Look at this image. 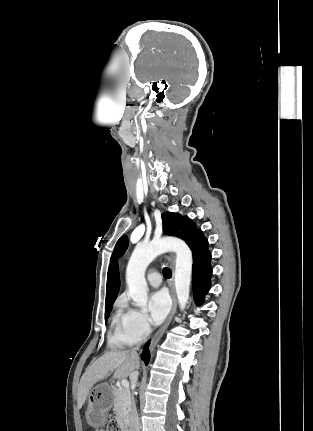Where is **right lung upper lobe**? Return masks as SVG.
I'll return each mask as SVG.
<instances>
[{
    "instance_id": "obj_1",
    "label": "right lung upper lobe",
    "mask_w": 313,
    "mask_h": 431,
    "mask_svg": "<svg viewBox=\"0 0 313 431\" xmlns=\"http://www.w3.org/2000/svg\"><path fill=\"white\" fill-rule=\"evenodd\" d=\"M119 288H120V278H119L118 263L116 260L111 258L110 266L108 269V276H107L105 308L113 306V303L117 298Z\"/></svg>"
}]
</instances>
